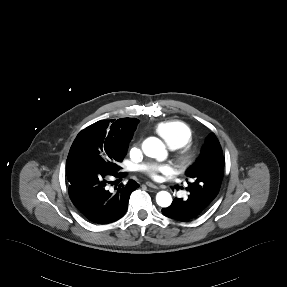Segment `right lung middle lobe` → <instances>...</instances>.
<instances>
[{
  "mask_svg": "<svg viewBox=\"0 0 287 287\" xmlns=\"http://www.w3.org/2000/svg\"><path fill=\"white\" fill-rule=\"evenodd\" d=\"M128 146H112L96 139L90 132L82 130L74 140L66 161V167L90 162L104 169L119 171Z\"/></svg>",
  "mask_w": 287,
  "mask_h": 287,
  "instance_id": "dd1d6c3e",
  "label": "right lung middle lobe"
}]
</instances>
